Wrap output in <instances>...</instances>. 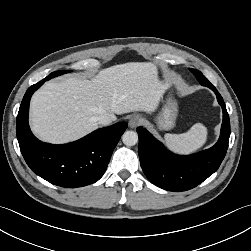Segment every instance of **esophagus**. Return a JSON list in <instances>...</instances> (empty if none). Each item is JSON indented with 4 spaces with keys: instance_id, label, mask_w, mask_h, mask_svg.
Here are the masks:
<instances>
[{
    "instance_id": "1",
    "label": "esophagus",
    "mask_w": 251,
    "mask_h": 251,
    "mask_svg": "<svg viewBox=\"0 0 251 251\" xmlns=\"http://www.w3.org/2000/svg\"><path fill=\"white\" fill-rule=\"evenodd\" d=\"M141 122H142V118L139 115H134L129 120V126L130 128H136L137 126L141 124Z\"/></svg>"
}]
</instances>
